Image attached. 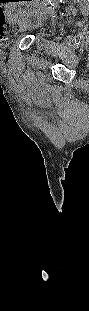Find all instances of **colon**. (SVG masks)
Segmentation results:
<instances>
[{
    "label": "colon",
    "mask_w": 89,
    "mask_h": 311,
    "mask_svg": "<svg viewBox=\"0 0 89 311\" xmlns=\"http://www.w3.org/2000/svg\"><path fill=\"white\" fill-rule=\"evenodd\" d=\"M5 18V17H4ZM14 28H19V25L15 26Z\"/></svg>",
    "instance_id": "1"
}]
</instances>
